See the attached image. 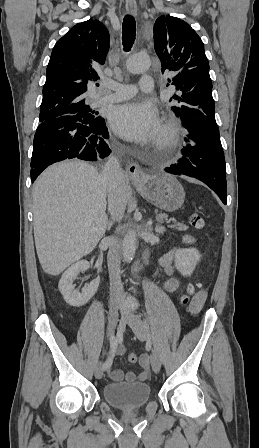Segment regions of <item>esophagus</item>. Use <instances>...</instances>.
<instances>
[{
  "label": "esophagus",
  "instance_id": "1",
  "mask_svg": "<svg viewBox=\"0 0 259 448\" xmlns=\"http://www.w3.org/2000/svg\"><path fill=\"white\" fill-rule=\"evenodd\" d=\"M126 10L130 15L136 16L137 4L136 0H126ZM127 173L133 184H140L144 179V172L140 165L136 162L129 163Z\"/></svg>",
  "mask_w": 259,
  "mask_h": 448
}]
</instances>
